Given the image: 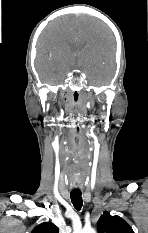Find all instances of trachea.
<instances>
[{"mask_svg":"<svg viewBox=\"0 0 148 233\" xmlns=\"http://www.w3.org/2000/svg\"><path fill=\"white\" fill-rule=\"evenodd\" d=\"M71 202L76 210L80 211L83 205V200L80 191H72L70 193Z\"/></svg>","mask_w":148,"mask_h":233,"instance_id":"trachea-1","label":"trachea"}]
</instances>
